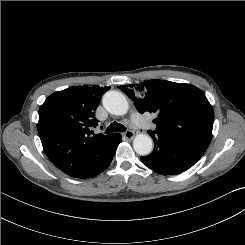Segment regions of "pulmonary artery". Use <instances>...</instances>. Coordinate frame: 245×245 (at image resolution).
Masks as SVG:
<instances>
[{
    "label": "pulmonary artery",
    "mask_w": 245,
    "mask_h": 245,
    "mask_svg": "<svg viewBox=\"0 0 245 245\" xmlns=\"http://www.w3.org/2000/svg\"><path fill=\"white\" fill-rule=\"evenodd\" d=\"M131 119H132V122H133L136 126L142 128V129L148 130V129H152V128H153V126H152L149 122H147L142 116H140V115H139L138 113H136V112H134V113L132 114Z\"/></svg>",
    "instance_id": "e3ab8cb5"
}]
</instances>
